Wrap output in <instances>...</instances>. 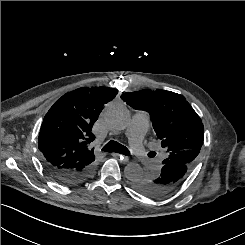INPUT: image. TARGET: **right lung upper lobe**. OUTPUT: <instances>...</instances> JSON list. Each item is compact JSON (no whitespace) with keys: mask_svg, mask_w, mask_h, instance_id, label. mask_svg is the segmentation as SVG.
<instances>
[{"mask_svg":"<svg viewBox=\"0 0 245 245\" xmlns=\"http://www.w3.org/2000/svg\"><path fill=\"white\" fill-rule=\"evenodd\" d=\"M118 90L108 87L79 88L58 99L45 115L39 132L43 162L62 170H81L95 160L90 143L92 127Z\"/></svg>","mask_w":245,"mask_h":245,"instance_id":"right-lung-upper-lobe-1","label":"right lung upper lobe"}]
</instances>
